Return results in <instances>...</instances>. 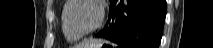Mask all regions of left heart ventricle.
Masks as SVG:
<instances>
[{
    "label": "left heart ventricle",
    "instance_id": "b2bd125f",
    "mask_svg": "<svg viewBox=\"0 0 213 48\" xmlns=\"http://www.w3.org/2000/svg\"><path fill=\"white\" fill-rule=\"evenodd\" d=\"M99 13L95 5L85 1L74 3L68 12L67 20L75 32H85L95 26Z\"/></svg>",
    "mask_w": 213,
    "mask_h": 48
}]
</instances>
